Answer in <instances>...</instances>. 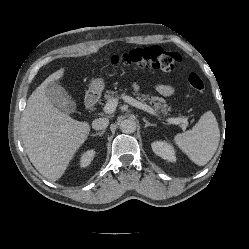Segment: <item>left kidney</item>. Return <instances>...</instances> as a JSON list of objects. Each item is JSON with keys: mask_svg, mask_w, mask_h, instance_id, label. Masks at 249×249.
Returning a JSON list of instances; mask_svg holds the SVG:
<instances>
[{"mask_svg": "<svg viewBox=\"0 0 249 249\" xmlns=\"http://www.w3.org/2000/svg\"><path fill=\"white\" fill-rule=\"evenodd\" d=\"M153 152L161 158L170 162L176 161L174 148L165 141H156L151 144Z\"/></svg>", "mask_w": 249, "mask_h": 249, "instance_id": "left-kidney-1", "label": "left kidney"}]
</instances>
